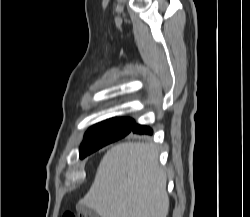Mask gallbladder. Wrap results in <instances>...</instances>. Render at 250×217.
Masks as SVG:
<instances>
[{
    "label": "gallbladder",
    "mask_w": 250,
    "mask_h": 217,
    "mask_svg": "<svg viewBox=\"0 0 250 217\" xmlns=\"http://www.w3.org/2000/svg\"><path fill=\"white\" fill-rule=\"evenodd\" d=\"M77 210L82 213V214H87L90 217H99V215L92 209H90L89 207L85 206V205H77Z\"/></svg>",
    "instance_id": "bac80fb5"
}]
</instances>
